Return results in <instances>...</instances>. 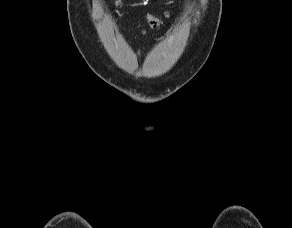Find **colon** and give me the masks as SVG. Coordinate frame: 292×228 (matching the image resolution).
Returning a JSON list of instances; mask_svg holds the SVG:
<instances>
[{
    "label": "colon",
    "instance_id": "colon-1",
    "mask_svg": "<svg viewBox=\"0 0 292 228\" xmlns=\"http://www.w3.org/2000/svg\"><path fill=\"white\" fill-rule=\"evenodd\" d=\"M164 14H166V11H164ZM147 24L150 27H156L159 24V18L155 14H150L147 16Z\"/></svg>",
    "mask_w": 292,
    "mask_h": 228
}]
</instances>
